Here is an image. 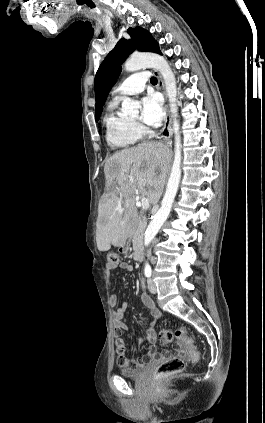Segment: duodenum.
Masks as SVG:
<instances>
[{
  "label": "duodenum",
  "mask_w": 265,
  "mask_h": 423,
  "mask_svg": "<svg viewBox=\"0 0 265 423\" xmlns=\"http://www.w3.org/2000/svg\"><path fill=\"white\" fill-rule=\"evenodd\" d=\"M133 258L136 261H139L142 258V243H141V239L140 238H137L135 240V242H134Z\"/></svg>",
  "instance_id": "obj_1"
}]
</instances>
